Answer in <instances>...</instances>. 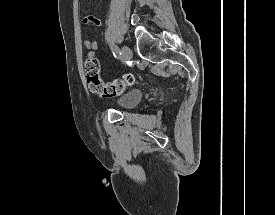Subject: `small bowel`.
I'll return each mask as SVG.
<instances>
[{
	"instance_id": "c3829d8e",
	"label": "small bowel",
	"mask_w": 275,
	"mask_h": 215,
	"mask_svg": "<svg viewBox=\"0 0 275 215\" xmlns=\"http://www.w3.org/2000/svg\"><path fill=\"white\" fill-rule=\"evenodd\" d=\"M85 24H92L95 26H103V22L94 17V16H88L84 19ZM84 46L87 50H97L98 48V43L96 41H92L90 39H85L84 41Z\"/></svg>"
}]
</instances>
